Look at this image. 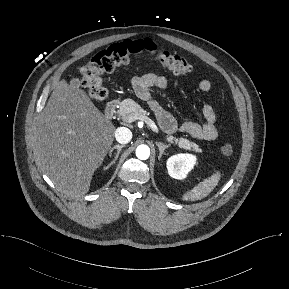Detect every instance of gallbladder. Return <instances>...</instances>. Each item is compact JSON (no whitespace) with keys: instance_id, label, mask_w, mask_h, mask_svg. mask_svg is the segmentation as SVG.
<instances>
[{"instance_id":"gallbladder-1","label":"gallbladder","mask_w":289,"mask_h":289,"mask_svg":"<svg viewBox=\"0 0 289 289\" xmlns=\"http://www.w3.org/2000/svg\"><path fill=\"white\" fill-rule=\"evenodd\" d=\"M70 84L74 87H79L80 86V81L79 79L77 78H73L71 81H70Z\"/></svg>"}]
</instances>
